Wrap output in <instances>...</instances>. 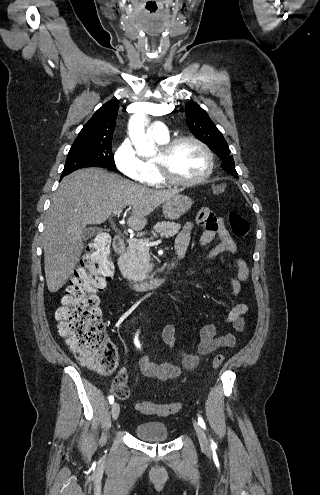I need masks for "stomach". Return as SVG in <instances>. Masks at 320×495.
I'll return each mask as SVG.
<instances>
[{
  "label": "stomach",
  "instance_id": "0dacf381",
  "mask_svg": "<svg viewBox=\"0 0 320 495\" xmlns=\"http://www.w3.org/2000/svg\"><path fill=\"white\" fill-rule=\"evenodd\" d=\"M193 202L181 194H176L163 203V214L169 220H177L189 211Z\"/></svg>",
  "mask_w": 320,
  "mask_h": 495
}]
</instances>
